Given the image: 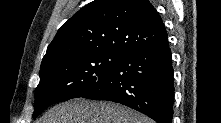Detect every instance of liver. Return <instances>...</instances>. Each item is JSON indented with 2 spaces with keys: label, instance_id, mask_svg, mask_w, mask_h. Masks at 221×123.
Returning <instances> with one entry per match:
<instances>
[{
  "label": "liver",
  "instance_id": "liver-1",
  "mask_svg": "<svg viewBox=\"0 0 221 123\" xmlns=\"http://www.w3.org/2000/svg\"><path fill=\"white\" fill-rule=\"evenodd\" d=\"M38 123H153V121L116 103L79 98L54 106Z\"/></svg>",
  "mask_w": 221,
  "mask_h": 123
}]
</instances>
